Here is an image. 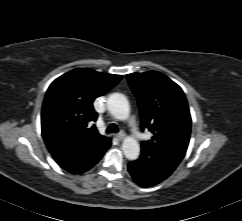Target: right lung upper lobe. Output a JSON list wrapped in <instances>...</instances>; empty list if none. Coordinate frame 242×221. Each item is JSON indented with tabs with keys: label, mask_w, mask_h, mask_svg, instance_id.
Listing matches in <instances>:
<instances>
[{
	"label": "right lung upper lobe",
	"mask_w": 242,
	"mask_h": 221,
	"mask_svg": "<svg viewBox=\"0 0 242 221\" xmlns=\"http://www.w3.org/2000/svg\"><path fill=\"white\" fill-rule=\"evenodd\" d=\"M121 75L77 68L58 77L48 88L42 107L41 129L55 161L74 173L87 171L110 147L93 122L95 98L104 95Z\"/></svg>",
	"instance_id": "cb5924a9"
}]
</instances>
